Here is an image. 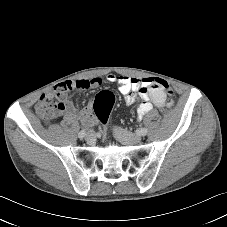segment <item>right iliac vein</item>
I'll return each instance as SVG.
<instances>
[{
	"instance_id": "63e3f726",
	"label": "right iliac vein",
	"mask_w": 227,
	"mask_h": 227,
	"mask_svg": "<svg viewBox=\"0 0 227 227\" xmlns=\"http://www.w3.org/2000/svg\"><path fill=\"white\" fill-rule=\"evenodd\" d=\"M85 139L87 142L91 143L94 140V134L91 131H88L85 135Z\"/></svg>"
}]
</instances>
